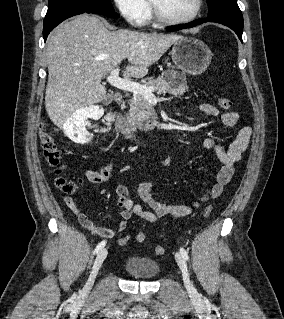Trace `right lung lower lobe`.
I'll return each instance as SVG.
<instances>
[{"instance_id": "right-lung-lower-lobe-1", "label": "right lung lower lobe", "mask_w": 284, "mask_h": 319, "mask_svg": "<svg viewBox=\"0 0 284 319\" xmlns=\"http://www.w3.org/2000/svg\"><path fill=\"white\" fill-rule=\"evenodd\" d=\"M82 13H95V14H102L108 17H112V18H118L119 15L117 13L114 12V9L111 10H88V11H77V12H70V13H66L63 14L61 16H58L57 18L53 19L50 22L44 23L43 24V38L44 41H46L48 34L58 25L60 24L62 21H64L65 19L78 15V14H82Z\"/></svg>"}]
</instances>
